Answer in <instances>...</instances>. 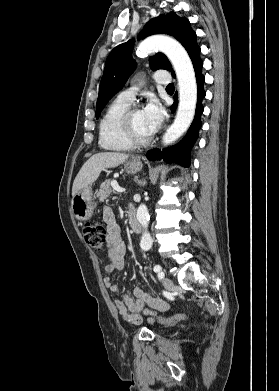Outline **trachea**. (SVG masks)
<instances>
[{
    "label": "trachea",
    "instance_id": "trachea-1",
    "mask_svg": "<svg viewBox=\"0 0 279 391\" xmlns=\"http://www.w3.org/2000/svg\"><path fill=\"white\" fill-rule=\"evenodd\" d=\"M166 89H174V85H173L172 83H170V84L166 87Z\"/></svg>",
    "mask_w": 279,
    "mask_h": 391
}]
</instances>
